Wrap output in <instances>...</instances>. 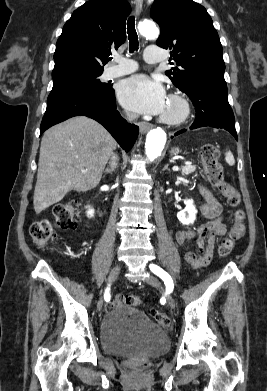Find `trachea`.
<instances>
[{"label":"trachea","mask_w":267,"mask_h":391,"mask_svg":"<svg viewBox=\"0 0 267 391\" xmlns=\"http://www.w3.org/2000/svg\"><path fill=\"white\" fill-rule=\"evenodd\" d=\"M127 34L129 39V51L133 53L135 50H138V36L135 29V17L131 16L127 22Z\"/></svg>","instance_id":"3493384b"}]
</instances>
